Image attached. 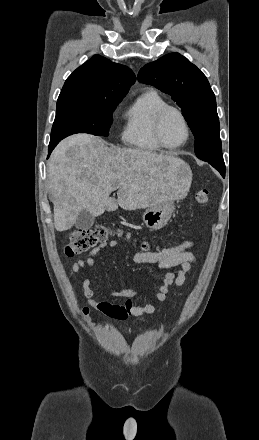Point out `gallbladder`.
Listing matches in <instances>:
<instances>
[{
  "label": "gallbladder",
  "mask_w": 259,
  "mask_h": 440,
  "mask_svg": "<svg viewBox=\"0 0 259 440\" xmlns=\"http://www.w3.org/2000/svg\"><path fill=\"white\" fill-rule=\"evenodd\" d=\"M95 217L87 210L83 209L77 216L75 227L81 230H87L94 224Z\"/></svg>",
  "instance_id": "1"
}]
</instances>
